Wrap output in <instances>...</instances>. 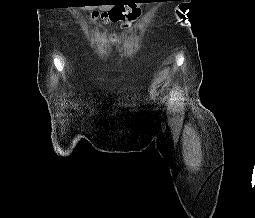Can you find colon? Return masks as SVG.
Here are the masks:
<instances>
[{"mask_svg": "<svg viewBox=\"0 0 255 218\" xmlns=\"http://www.w3.org/2000/svg\"><path fill=\"white\" fill-rule=\"evenodd\" d=\"M140 15V9L135 0H129L122 5H117L107 12L94 11L92 16L96 19H102L106 22H128L135 20Z\"/></svg>", "mask_w": 255, "mask_h": 218, "instance_id": "obj_1", "label": "colon"}]
</instances>
